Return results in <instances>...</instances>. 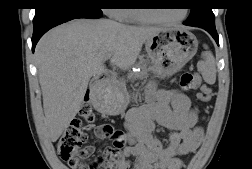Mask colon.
Segmentation results:
<instances>
[{"instance_id":"1","label":"colon","mask_w":252,"mask_h":169,"mask_svg":"<svg viewBox=\"0 0 252 169\" xmlns=\"http://www.w3.org/2000/svg\"><path fill=\"white\" fill-rule=\"evenodd\" d=\"M181 87L186 91H198L201 93L197 98L201 101H207L210 98L211 90L203 86L199 78L193 72H185L181 76ZM80 117L88 124H91L95 115L89 104H85L80 109ZM97 136L101 139H111L118 147L123 145V133L111 124H101L97 127ZM86 133L82 127L80 119H75L63 131L58 140L57 149L61 160H63L71 169H101L106 167L110 156L106 151L99 153L91 162L87 163L86 158L90 157L94 148L86 146Z\"/></svg>"}]
</instances>
